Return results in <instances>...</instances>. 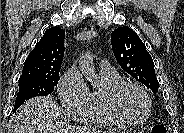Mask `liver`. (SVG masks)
I'll use <instances>...</instances> for the list:
<instances>
[{
	"instance_id": "1",
	"label": "liver",
	"mask_w": 184,
	"mask_h": 133,
	"mask_svg": "<svg viewBox=\"0 0 184 133\" xmlns=\"http://www.w3.org/2000/svg\"><path fill=\"white\" fill-rule=\"evenodd\" d=\"M59 118L60 108L55 100L35 97L12 115V133H101L89 127H65Z\"/></svg>"
}]
</instances>
